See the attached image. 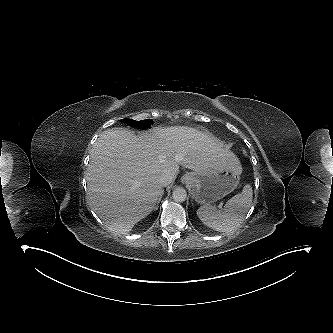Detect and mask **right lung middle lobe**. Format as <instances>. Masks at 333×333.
Instances as JSON below:
<instances>
[{"instance_id":"dd1d6c3e","label":"right lung middle lobe","mask_w":333,"mask_h":333,"mask_svg":"<svg viewBox=\"0 0 333 333\" xmlns=\"http://www.w3.org/2000/svg\"><path fill=\"white\" fill-rule=\"evenodd\" d=\"M122 121L126 122L127 124L136 127V128H141V129H147L153 124L152 119H146L142 121H135L131 119H122Z\"/></svg>"}]
</instances>
